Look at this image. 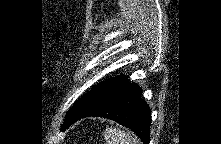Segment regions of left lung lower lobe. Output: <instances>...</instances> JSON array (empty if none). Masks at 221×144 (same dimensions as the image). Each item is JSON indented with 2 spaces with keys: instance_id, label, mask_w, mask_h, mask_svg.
<instances>
[{
  "instance_id": "0a47b994",
  "label": "left lung lower lobe",
  "mask_w": 221,
  "mask_h": 144,
  "mask_svg": "<svg viewBox=\"0 0 221 144\" xmlns=\"http://www.w3.org/2000/svg\"><path fill=\"white\" fill-rule=\"evenodd\" d=\"M141 96V88L130 84L127 77L121 75L96 105L71 121L67 127L84 117H104L131 129L144 144H149L151 112Z\"/></svg>"
}]
</instances>
